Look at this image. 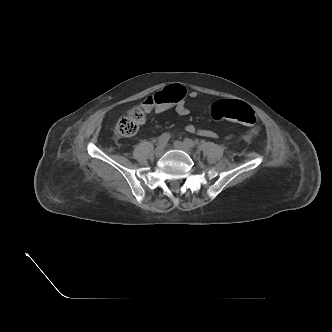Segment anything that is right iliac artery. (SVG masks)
I'll return each mask as SVG.
<instances>
[{"label":"right iliac artery","instance_id":"82829eb1","mask_svg":"<svg viewBox=\"0 0 332 332\" xmlns=\"http://www.w3.org/2000/svg\"><path fill=\"white\" fill-rule=\"evenodd\" d=\"M170 139V134L169 133H164L162 134L159 139H158V144L159 145H165Z\"/></svg>","mask_w":332,"mask_h":332}]
</instances>
